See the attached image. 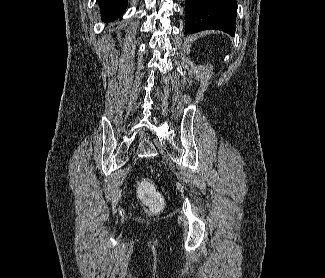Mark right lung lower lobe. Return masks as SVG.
I'll return each instance as SVG.
<instances>
[{"label":"right lung lower lobe","mask_w":325,"mask_h":278,"mask_svg":"<svg viewBox=\"0 0 325 278\" xmlns=\"http://www.w3.org/2000/svg\"><path fill=\"white\" fill-rule=\"evenodd\" d=\"M102 19L105 22L118 18L127 7V0H98Z\"/></svg>","instance_id":"obj_1"}]
</instances>
